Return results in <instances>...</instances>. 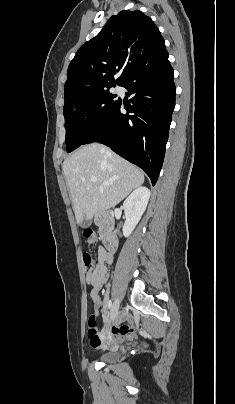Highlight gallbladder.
I'll use <instances>...</instances> for the list:
<instances>
[{
  "label": "gallbladder",
  "instance_id": "bac80fb5",
  "mask_svg": "<svg viewBox=\"0 0 235 404\" xmlns=\"http://www.w3.org/2000/svg\"><path fill=\"white\" fill-rule=\"evenodd\" d=\"M90 224H91V221H90V220L84 219V221L81 223V226H82L83 228H86V227L90 226Z\"/></svg>",
  "mask_w": 235,
  "mask_h": 404
}]
</instances>
